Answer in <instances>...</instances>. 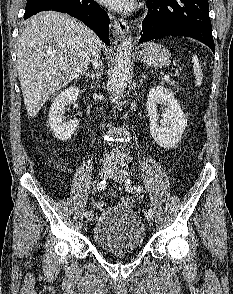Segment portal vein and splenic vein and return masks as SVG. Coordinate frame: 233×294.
Listing matches in <instances>:
<instances>
[{"label":"portal vein and splenic vein","instance_id":"18ae733b","mask_svg":"<svg viewBox=\"0 0 233 294\" xmlns=\"http://www.w3.org/2000/svg\"><path fill=\"white\" fill-rule=\"evenodd\" d=\"M170 76H171L170 74H166V75L164 76V79H165V80H168V79L170 78Z\"/></svg>","mask_w":233,"mask_h":294}]
</instances>
